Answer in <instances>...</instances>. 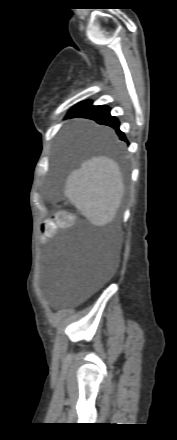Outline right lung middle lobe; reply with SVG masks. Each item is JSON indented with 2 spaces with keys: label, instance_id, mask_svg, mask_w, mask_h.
Segmentation results:
<instances>
[{
  "label": "right lung middle lobe",
  "instance_id": "dd1d6c3e",
  "mask_svg": "<svg viewBox=\"0 0 177 440\" xmlns=\"http://www.w3.org/2000/svg\"><path fill=\"white\" fill-rule=\"evenodd\" d=\"M91 104L89 103V102H84V103H80V104H78V105H76L69 113H68V117L71 115V114H74V113H76V112H78V111H80V110H82V109H84V108H86V107H88V106H90ZM102 135H103V133L102 132H91L89 135H88V142L91 144V143H105V140L102 138Z\"/></svg>",
  "mask_w": 177,
  "mask_h": 440
}]
</instances>
